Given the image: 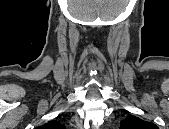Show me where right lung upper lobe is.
Here are the masks:
<instances>
[{"label":"right lung upper lobe","mask_w":169,"mask_h":129,"mask_svg":"<svg viewBox=\"0 0 169 129\" xmlns=\"http://www.w3.org/2000/svg\"><path fill=\"white\" fill-rule=\"evenodd\" d=\"M43 129H64L65 126L60 124L59 122L53 120L42 126Z\"/></svg>","instance_id":"obj_1"}]
</instances>
